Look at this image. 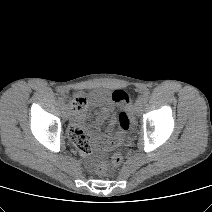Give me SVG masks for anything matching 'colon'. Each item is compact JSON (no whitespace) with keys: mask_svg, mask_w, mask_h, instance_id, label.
I'll return each instance as SVG.
<instances>
[{"mask_svg":"<svg viewBox=\"0 0 212 212\" xmlns=\"http://www.w3.org/2000/svg\"><path fill=\"white\" fill-rule=\"evenodd\" d=\"M112 99L123 106V110L119 113L118 116V128L121 133L126 134L128 133L133 126V119L126 108L130 105V96L124 90H115L112 93ZM71 108L74 112H81L86 108L85 101L82 98H75L71 101ZM73 142L78 146L79 149L82 151L86 150L84 144L73 140ZM123 161V156L121 152H116L111 158V167H118ZM97 173L99 175L105 176L110 173V166L106 164H101L97 168Z\"/></svg>","mask_w":212,"mask_h":212,"instance_id":"obj_1","label":"colon"}]
</instances>
